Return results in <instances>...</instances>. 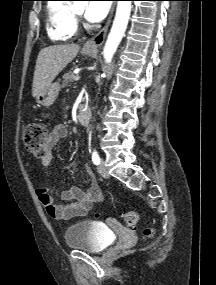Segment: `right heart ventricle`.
<instances>
[{
  "label": "right heart ventricle",
  "mask_w": 216,
  "mask_h": 285,
  "mask_svg": "<svg viewBox=\"0 0 216 285\" xmlns=\"http://www.w3.org/2000/svg\"><path fill=\"white\" fill-rule=\"evenodd\" d=\"M46 30L51 41L67 42L77 31L76 18L72 6L62 0H52L47 3Z\"/></svg>",
  "instance_id": "1"
}]
</instances>
